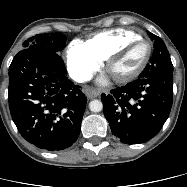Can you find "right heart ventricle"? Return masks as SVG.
<instances>
[{"label": "right heart ventricle", "mask_w": 187, "mask_h": 187, "mask_svg": "<svg viewBox=\"0 0 187 187\" xmlns=\"http://www.w3.org/2000/svg\"><path fill=\"white\" fill-rule=\"evenodd\" d=\"M138 37L141 36L132 30L117 28L96 33L83 43L99 60L103 61L118 46Z\"/></svg>", "instance_id": "right-heart-ventricle-1"}]
</instances>
